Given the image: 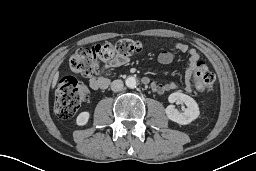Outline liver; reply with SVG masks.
I'll list each match as a JSON object with an SVG mask.
<instances>
[{
	"label": "liver",
	"mask_w": 256,
	"mask_h": 171,
	"mask_svg": "<svg viewBox=\"0 0 256 171\" xmlns=\"http://www.w3.org/2000/svg\"><path fill=\"white\" fill-rule=\"evenodd\" d=\"M59 73L58 71L54 74L53 81H52V88L55 87L57 81H58Z\"/></svg>",
	"instance_id": "obj_1"
}]
</instances>
